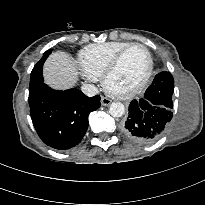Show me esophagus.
Returning <instances> with one entry per match:
<instances>
[{
    "mask_svg": "<svg viewBox=\"0 0 205 205\" xmlns=\"http://www.w3.org/2000/svg\"><path fill=\"white\" fill-rule=\"evenodd\" d=\"M111 103V100L107 97L102 96L101 97V104L103 106H108Z\"/></svg>",
    "mask_w": 205,
    "mask_h": 205,
    "instance_id": "esophagus-1",
    "label": "esophagus"
}]
</instances>
